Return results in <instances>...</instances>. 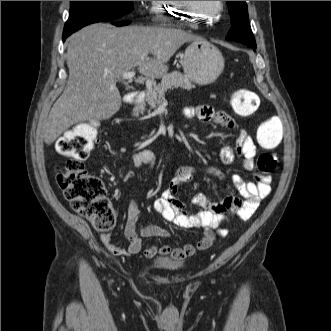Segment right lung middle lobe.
Wrapping results in <instances>:
<instances>
[{
    "instance_id": "dd1d6c3e",
    "label": "right lung middle lobe",
    "mask_w": 331,
    "mask_h": 331,
    "mask_svg": "<svg viewBox=\"0 0 331 331\" xmlns=\"http://www.w3.org/2000/svg\"><path fill=\"white\" fill-rule=\"evenodd\" d=\"M132 10V1H72L63 35H70L91 23L120 20Z\"/></svg>"
}]
</instances>
